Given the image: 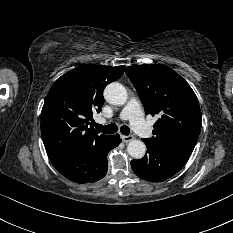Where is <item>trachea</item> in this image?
I'll return each mask as SVG.
<instances>
[{"label":"trachea","instance_id":"trachea-1","mask_svg":"<svg viewBox=\"0 0 233 233\" xmlns=\"http://www.w3.org/2000/svg\"><path fill=\"white\" fill-rule=\"evenodd\" d=\"M95 128L97 130H99L100 132L102 133H105V134H113V133H116L117 130H118V127L116 124H109V125H106V126H102L100 124H94ZM120 131L122 134L124 135H129L130 134V129L128 126L126 125H123L121 128H120Z\"/></svg>","mask_w":233,"mask_h":233}]
</instances>
